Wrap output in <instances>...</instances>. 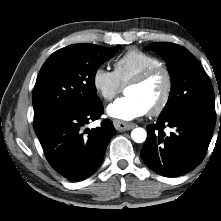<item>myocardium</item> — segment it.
Returning a JSON list of instances; mask_svg holds the SVG:
<instances>
[{"label":"myocardium","instance_id":"obj_1","mask_svg":"<svg viewBox=\"0 0 221 221\" xmlns=\"http://www.w3.org/2000/svg\"><path fill=\"white\" fill-rule=\"evenodd\" d=\"M157 74L164 75L165 86L162 92V96L160 100L158 101V103L148 110L149 114L154 115V116L159 115L161 112H163V110L166 108V106L169 103L172 89H173V78H172V74L170 70L163 65L148 68L144 70L143 72H141L140 74H138L132 80H130L128 84L126 85V87L142 85Z\"/></svg>","mask_w":221,"mask_h":221}]
</instances>
